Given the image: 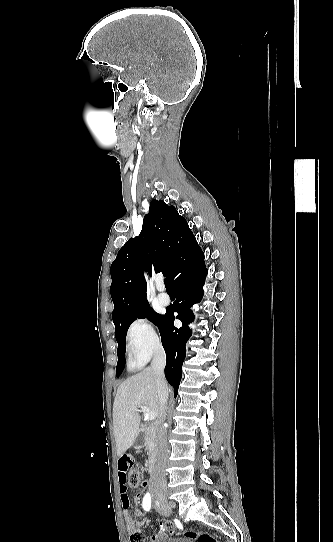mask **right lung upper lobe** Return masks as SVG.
I'll return each mask as SVG.
<instances>
[{"label": "right lung upper lobe", "instance_id": "1", "mask_svg": "<svg viewBox=\"0 0 333 542\" xmlns=\"http://www.w3.org/2000/svg\"><path fill=\"white\" fill-rule=\"evenodd\" d=\"M196 241L174 206L152 200L139 236L130 238L111 265L113 321L149 305L143 272L173 278L176 255Z\"/></svg>", "mask_w": 333, "mask_h": 542}]
</instances>
